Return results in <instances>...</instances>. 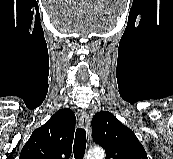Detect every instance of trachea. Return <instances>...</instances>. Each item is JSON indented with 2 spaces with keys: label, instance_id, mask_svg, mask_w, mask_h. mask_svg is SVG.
Wrapping results in <instances>:
<instances>
[{
  "label": "trachea",
  "instance_id": "3493384b",
  "mask_svg": "<svg viewBox=\"0 0 173 159\" xmlns=\"http://www.w3.org/2000/svg\"><path fill=\"white\" fill-rule=\"evenodd\" d=\"M86 142L87 140L85 129L77 128L73 145V153L75 159H83L86 149Z\"/></svg>",
  "mask_w": 173,
  "mask_h": 159
}]
</instances>
